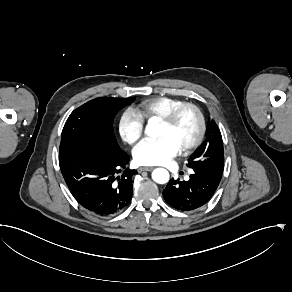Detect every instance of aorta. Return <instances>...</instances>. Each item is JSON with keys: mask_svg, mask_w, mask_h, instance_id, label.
<instances>
[{"mask_svg": "<svg viewBox=\"0 0 292 292\" xmlns=\"http://www.w3.org/2000/svg\"><path fill=\"white\" fill-rule=\"evenodd\" d=\"M145 133L150 137H157L156 124L149 122L146 126ZM152 179L158 184H165L169 181V172L164 168H156L152 172Z\"/></svg>", "mask_w": 292, "mask_h": 292, "instance_id": "1", "label": "aorta"}]
</instances>
